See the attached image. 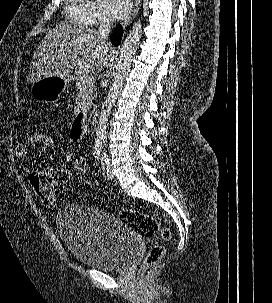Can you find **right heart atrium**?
<instances>
[{"label": "right heart atrium", "instance_id": "obj_1", "mask_svg": "<svg viewBox=\"0 0 272 303\" xmlns=\"http://www.w3.org/2000/svg\"><path fill=\"white\" fill-rule=\"evenodd\" d=\"M90 11L91 24H104L109 22V16L100 2L90 1Z\"/></svg>", "mask_w": 272, "mask_h": 303}]
</instances>
